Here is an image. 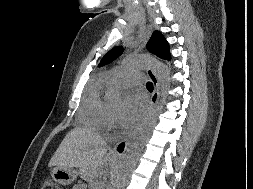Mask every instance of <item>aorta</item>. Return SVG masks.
I'll list each match as a JSON object with an SVG mask.
<instances>
[{
  "label": "aorta",
  "mask_w": 253,
  "mask_h": 189,
  "mask_svg": "<svg viewBox=\"0 0 253 189\" xmlns=\"http://www.w3.org/2000/svg\"><path fill=\"white\" fill-rule=\"evenodd\" d=\"M146 67H152L157 74L162 86V99L155 109L149 114L139 133L130 143L124 156L123 163L118 173L113 177L111 189L123 188L124 180L135 168L143 148L157 124L158 114L162 111L163 105L166 102L167 91L170 87V71L163 63L150 56H131L126 58L123 62V68L143 69ZM105 101L111 107H120L123 105L124 97L117 89L110 87L106 91Z\"/></svg>",
  "instance_id": "1"
}]
</instances>
